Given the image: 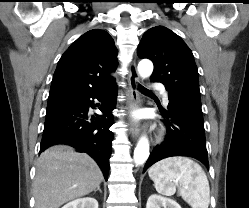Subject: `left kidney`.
<instances>
[{"instance_id":"5707ae66","label":"left kidney","mask_w":249,"mask_h":208,"mask_svg":"<svg viewBox=\"0 0 249 208\" xmlns=\"http://www.w3.org/2000/svg\"><path fill=\"white\" fill-rule=\"evenodd\" d=\"M146 208H181V206L173 199L153 194L148 198Z\"/></svg>"}]
</instances>
